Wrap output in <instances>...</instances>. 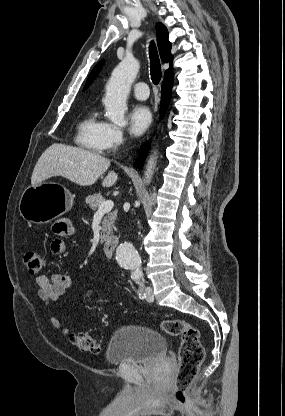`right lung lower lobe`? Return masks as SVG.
I'll return each instance as SVG.
<instances>
[{"mask_svg": "<svg viewBox=\"0 0 285 416\" xmlns=\"http://www.w3.org/2000/svg\"><path fill=\"white\" fill-rule=\"evenodd\" d=\"M173 85V76L165 78L162 84V97H161V113L164 114L168 105V101L171 97V88ZM148 148L145 146L140 152V159L137 160L136 166L142 168V164L146 157Z\"/></svg>", "mask_w": 285, "mask_h": 416, "instance_id": "right-lung-lower-lobe-1", "label": "right lung lower lobe"}]
</instances>
